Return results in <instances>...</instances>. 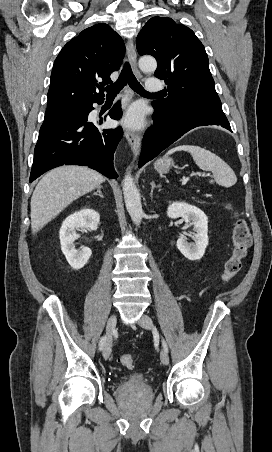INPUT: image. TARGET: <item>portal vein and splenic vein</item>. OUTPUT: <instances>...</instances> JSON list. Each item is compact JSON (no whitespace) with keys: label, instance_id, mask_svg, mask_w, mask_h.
<instances>
[{"label":"portal vein and splenic vein","instance_id":"18ae733b","mask_svg":"<svg viewBox=\"0 0 272 452\" xmlns=\"http://www.w3.org/2000/svg\"><path fill=\"white\" fill-rule=\"evenodd\" d=\"M202 176H208V174L207 175H202ZM187 181V179H184L183 180V183H185Z\"/></svg>","mask_w":272,"mask_h":452}]
</instances>
